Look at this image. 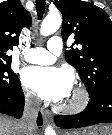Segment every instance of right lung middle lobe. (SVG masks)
Masks as SVG:
<instances>
[{
	"label": "right lung middle lobe",
	"mask_w": 112,
	"mask_h": 135,
	"mask_svg": "<svg viewBox=\"0 0 112 135\" xmlns=\"http://www.w3.org/2000/svg\"><path fill=\"white\" fill-rule=\"evenodd\" d=\"M10 67L11 61L0 62V96L15 94L21 88L18 77Z\"/></svg>",
	"instance_id": "obj_1"
}]
</instances>
